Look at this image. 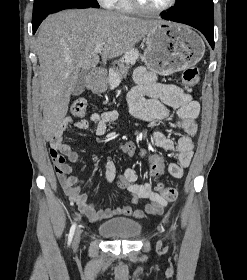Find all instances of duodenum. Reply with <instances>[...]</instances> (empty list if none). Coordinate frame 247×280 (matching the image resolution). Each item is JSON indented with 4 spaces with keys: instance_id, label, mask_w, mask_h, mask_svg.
<instances>
[{
    "instance_id": "410a0bca",
    "label": "duodenum",
    "mask_w": 247,
    "mask_h": 280,
    "mask_svg": "<svg viewBox=\"0 0 247 280\" xmlns=\"http://www.w3.org/2000/svg\"><path fill=\"white\" fill-rule=\"evenodd\" d=\"M103 75V71L100 68L94 69L91 73L88 87L93 91L99 90L101 88Z\"/></svg>"
}]
</instances>
